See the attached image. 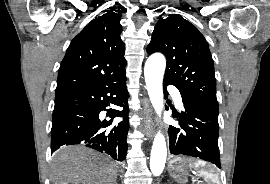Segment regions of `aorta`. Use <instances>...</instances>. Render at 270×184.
Here are the masks:
<instances>
[{
  "instance_id": "obj_1",
  "label": "aorta",
  "mask_w": 270,
  "mask_h": 184,
  "mask_svg": "<svg viewBox=\"0 0 270 184\" xmlns=\"http://www.w3.org/2000/svg\"><path fill=\"white\" fill-rule=\"evenodd\" d=\"M166 67L165 57L160 53L151 55L144 67L145 82L150 101L155 112L160 115L164 108L163 99V76ZM167 157L166 141L161 132H158L154 138L151 156L150 170L154 176H159L165 167Z\"/></svg>"
}]
</instances>
